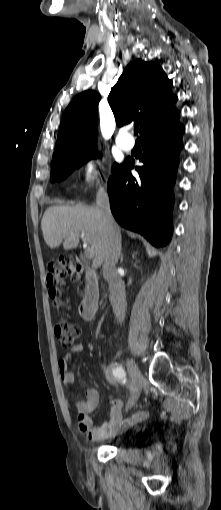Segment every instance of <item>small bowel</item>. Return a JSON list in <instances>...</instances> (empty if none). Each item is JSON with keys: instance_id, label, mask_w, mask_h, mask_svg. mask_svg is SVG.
Wrapping results in <instances>:
<instances>
[{"instance_id": "c3829d8e", "label": "small bowel", "mask_w": 221, "mask_h": 510, "mask_svg": "<svg viewBox=\"0 0 221 510\" xmlns=\"http://www.w3.org/2000/svg\"><path fill=\"white\" fill-rule=\"evenodd\" d=\"M83 350L84 345L82 343H77L72 347L70 352L66 353L58 361V371L64 386H71L74 383V373L70 367L74 354L81 353ZM72 405L78 413L79 427L92 440L111 438L117 433L139 423L149 414L148 410L143 409L123 418V401L120 399H112L107 421L102 424H95L91 415L100 405V393L95 387L86 388L85 399L76 400Z\"/></svg>"}]
</instances>
